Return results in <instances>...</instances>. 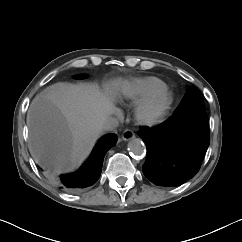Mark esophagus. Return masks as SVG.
I'll return each mask as SVG.
<instances>
[{"mask_svg": "<svg viewBox=\"0 0 242 242\" xmlns=\"http://www.w3.org/2000/svg\"><path fill=\"white\" fill-rule=\"evenodd\" d=\"M135 137V133L131 129H126L122 134V140L128 141Z\"/></svg>", "mask_w": 242, "mask_h": 242, "instance_id": "34e87169", "label": "esophagus"}]
</instances>
